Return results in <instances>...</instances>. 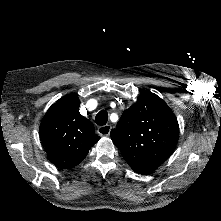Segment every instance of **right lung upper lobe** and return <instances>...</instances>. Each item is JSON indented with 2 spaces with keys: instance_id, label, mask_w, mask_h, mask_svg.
Listing matches in <instances>:
<instances>
[{
  "instance_id": "cb5924a9",
  "label": "right lung upper lobe",
  "mask_w": 221,
  "mask_h": 221,
  "mask_svg": "<svg viewBox=\"0 0 221 221\" xmlns=\"http://www.w3.org/2000/svg\"><path fill=\"white\" fill-rule=\"evenodd\" d=\"M78 108V96L62 97L49 108L40 125L48 159L59 168L78 165L100 139L94 133V125L77 111Z\"/></svg>"
}]
</instances>
